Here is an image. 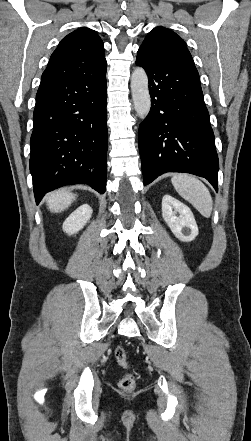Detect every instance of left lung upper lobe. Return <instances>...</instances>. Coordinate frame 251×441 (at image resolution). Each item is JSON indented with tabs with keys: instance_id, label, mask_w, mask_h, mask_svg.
Listing matches in <instances>:
<instances>
[{
	"instance_id": "5c2ea615",
	"label": "left lung upper lobe",
	"mask_w": 251,
	"mask_h": 441,
	"mask_svg": "<svg viewBox=\"0 0 251 441\" xmlns=\"http://www.w3.org/2000/svg\"><path fill=\"white\" fill-rule=\"evenodd\" d=\"M138 52L155 59L174 61L196 70L186 43L173 31L156 27L148 33Z\"/></svg>"
}]
</instances>
